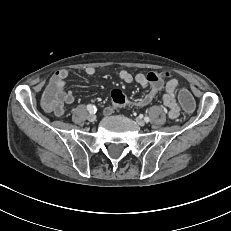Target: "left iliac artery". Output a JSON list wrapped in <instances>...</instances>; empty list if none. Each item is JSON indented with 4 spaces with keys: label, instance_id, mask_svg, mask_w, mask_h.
<instances>
[{
    "label": "left iliac artery",
    "instance_id": "left-iliac-artery-1",
    "mask_svg": "<svg viewBox=\"0 0 231 231\" xmlns=\"http://www.w3.org/2000/svg\"><path fill=\"white\" fill-rule=\"evenodd\" d=\"M144 120H145V122H149V121H150V118L146 116V117L144 118Z\"/></svg>",
    "mask_w": 231,
    "mask_h": 231
}]
</instances>
